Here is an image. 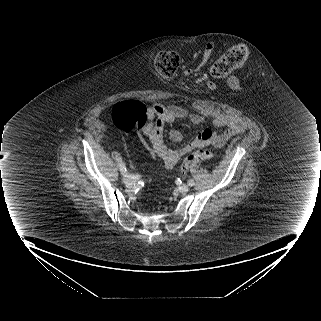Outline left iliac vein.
<instances>
[{"mask_svg": "<svg viewBox=\"0 0 321 321\" xmlns=\"http://www.w3.org/2000/svg\"><path fill=\"white\" fill-rule=\"evenodd\" d=\"M178 191L182 194H186L189 191V186L186 184H182L178 187Z\"/></svg>", "mask_w": 321, "mask_h": 321, "instance_id": "obj_1", "label": "left iliac vein"}]
</instances>
